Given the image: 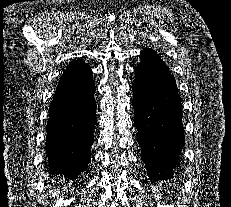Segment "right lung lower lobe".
<instances>
[{
  "mask_svg": "<svg viewBox=\"0 0 231 207\" xmlns=\"http://www.w3.org/2000/svg\"><path fill=\"white\" fill-rule=\"evenodd\" d=\"M73 63L61 76L50 104L45 147L49 173L71 178L90 162L96 124V88L91 69L82 61Z\"/></svg>",
  "mask_w": 231,
  "mask_h": 207,
  "instance_id": "obj_1",
  "label": "right lung lower lobe"
}]
</instances>
